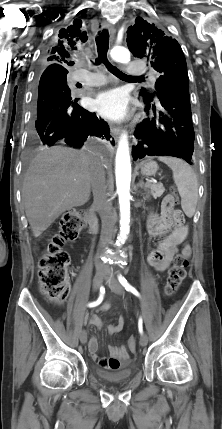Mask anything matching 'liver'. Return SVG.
<instances>
[{"mask_svg":"<svg viewBox=\"0 0 222 429\" xmlns=\"http://www.w3.org/2000/svg\"><path fill=\"white\" fill-rule=\"evenodd\" d=\"M98 155L102 156L96 150L56 146L32 160L23 181L22 200L35 237L62 213L89 200L92 167Z\"/></svg>","mask_w":222,"mask_h":429,"instance_id":"obj_1","label":"liver"}]
</instances>
